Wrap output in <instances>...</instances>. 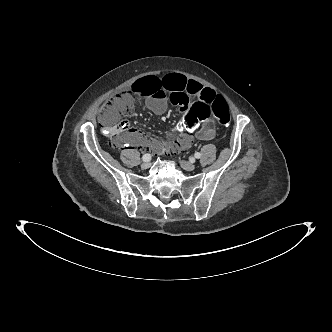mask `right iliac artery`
Segmentation results:
<instances>
[{"instance_id":"82829eb1","label":"right iliac artery","mask_w":332,"mask_h":332,"mask_svg":"<svg viewBox=\"0 0 332 332\" xmlns=\"http://www.w3.org/2000/svg\"><path fill=\"white\" fill-rule=\"evenodd\" d=\"M143 161H150L151 160V155L149 153H146L142 157Z\"/></svg>"}]
</instances>
